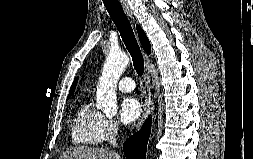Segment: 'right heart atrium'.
<instances>
[{
    "instance_id": "obj_1",
    "label": "right heart atrium",
    "mask_w": 253,
    "mask_h": 159,
    "mask_svg": "<svg viewBox=\"0 0 253 159\" xmlns=\"http://www.w3.org/2000/svg\"><path fill=\"white\" fill-rule=\"evenodd\" d=\"M118 132V125L111 117H104V140L112 141Z\"/></svg>"
}]
</instances>
